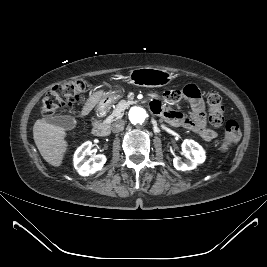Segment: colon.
Here are the masks:
<instances>
[{"mask_svg": "<svg viewBox=\"0 0 267 267\" xmlns=\"http://www.w3.org/2000/svg\"><path fill=\"white\" fill-rule=\"evenodd\" d=\"M88 88V83L81 79L70 80L55 85L42 99L41 111L45 116L54 115L59 109L80 102ZM209 121L214 126L224 124L225 135L220 144L221 151L237 143L241 137L240 126L237 120L225 121V105L222 97L211 93L208 97Z\"/></svg>", "mask_w": 267, "mask_h": 267, "instance_id": "1", "label": "colon"}]
</instances>
